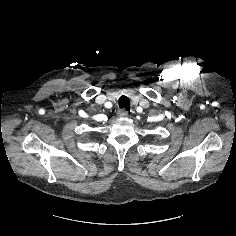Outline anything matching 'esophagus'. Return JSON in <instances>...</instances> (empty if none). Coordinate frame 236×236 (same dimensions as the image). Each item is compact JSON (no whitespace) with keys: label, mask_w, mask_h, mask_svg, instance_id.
<instances>
[{"label":"esophagus","mask_w":236,"mask_h":236,"mask_svg":"<svg viewBox=\"0 0 236 236\" xmlns=\"http://www.w3.org/2000/svg\"><path fill=\"white\" fill-rule=\"evenodd\" d=\"M118 116L119 117H126V116H128V111L126 109H120V110H118Z\"/></svg>","instance_id":"34e87169"}]
</instances>
